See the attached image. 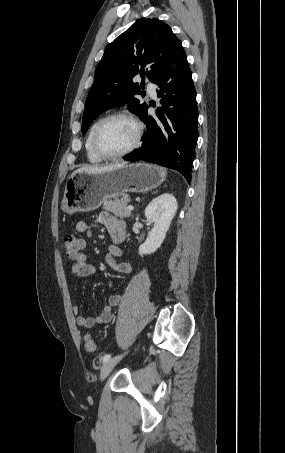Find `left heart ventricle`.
<instances>
[{
  "label": "left heart ventricle",
  "mask_w": 285,
  "mask_h": 453,
  "mask_svg": "<svg viewBox=\"0 0 285 453\" xmlns=\"http://www.w3.org/2000/svg\"><path fill=\"white\" fill-rule=\"evenodd\" d=\"M135 136L136 128L131 121L115 118L108 121L101 129L99 146L106 153H118L131 146Z\"/></svg>",
  "instance_id": "1"
}]
</instances>
